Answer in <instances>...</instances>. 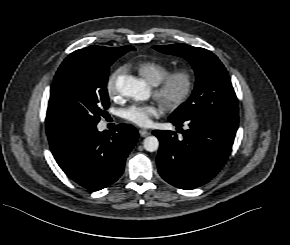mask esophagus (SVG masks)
Masks as SVG:
<instances>
[{
  "mask_svg": "<svg viewBox=\"0 0 290 245\" xmlns=\"http://www.w3.org/2000/svg\"><path fill=\"white\" fill-rule=\"evenodd\" d=\"M139 133H140V135H141L142 137H147V136H149V135L151 134L150 131L145 130V129H140V130H139Z\"/></svg>",
  "mask_w": 290,
  "mask_h": 245,
  "instance_id": "34e87169",
  "label": "esophagus"
}]
</instances>
